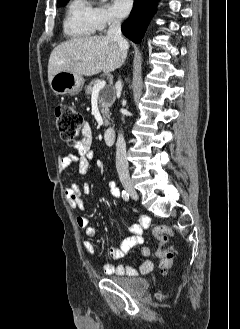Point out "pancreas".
Listing matches in <instances>:
<instances>
[{"label":"pancreas","instance_id":"cf45deb5","mask_svg":"<svg viewBox=\"0 0 240 329\" xmlns=\"http://www.w3.org/2000/svg\"><path fill=\"white\" fill-rule=\"evenodd\" d=\"M99 82V80H93L89 83V85L85 88V93L88 96V98H90L92 91H93V87ZM113 98H108L106 96V90H103L100 93V96L98 98V103H99V107L102 113V117L104 119V125L108 126L109 125V117H110V111H109V107H111V105L113 104Z\"/></svg>","mask_w":240,"mask_h":329}]
</instances>
